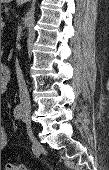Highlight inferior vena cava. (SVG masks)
Instances as JSON below:
<instances>
[{"instance_id": "obj_1", "label": "inferior vena cava", "mask_w": 109, "mask_h": 170, "mask_svg": "<svg viewBox=\"0 0 109 170\" xmlns=\"http://www.w3.org/2000/svg\"><path fill=\"white\" fill-rule=\"evenodd\" d=\"M16 75H17V81H18V86H19V98H20V103L23 107L30 109L31 108V101L29 97V92L24 80V76L22 73V70L19 66L18 60H16Z\"/></svg>"}]
</instances>
